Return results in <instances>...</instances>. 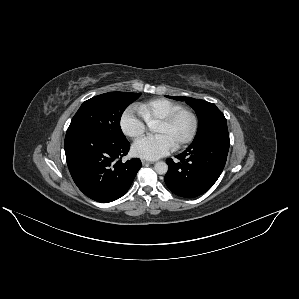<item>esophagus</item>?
Wrapping results in <instances>:
<instances>
[{"mask_svg":"<svg viewBox=\"0 0 299 299\" xmlns=\"http://www.w3.org/2000/svg\"><path fill=\"white\" fill-rule=\"evenodd\" d=\"M143 165L154 164V161L142 160Z\"/></svg>","mask_w":299,"mask_h":299,"instance_id":"1","label":"esophagus"}]
</instances>
